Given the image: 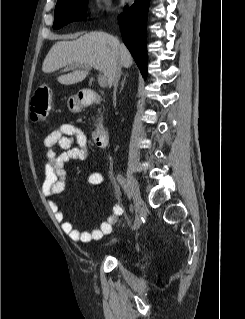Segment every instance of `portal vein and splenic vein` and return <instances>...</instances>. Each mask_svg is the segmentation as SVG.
<instances>
[{
  "label": "portal vein and splenic vein",
  "mask_w": 245,
  "mask_h": 319,
  "mask_svg": "<svg viewBox=\"0 0 245 319\" xmlns=\"http://www.w3.org/2000/svg\"><path fill=\"white\" fill-rule=\"evenodd\" d=\"M84 68H85L86 70H90V69H91L90 66H85ZM95 69H97V68H95ZM97 70H98V69H97ZM98 83H99V85H100L101 87H106V86H107V79H106V77L103 76V75H99V76H98Z\"/></svg>",
  "instance_id": "18ae733b"
}]
</instances>
